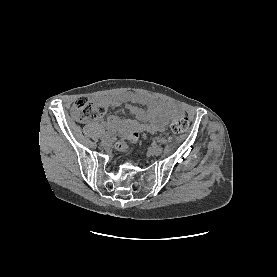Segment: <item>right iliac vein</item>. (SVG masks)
<instances>
[{
  "mask_svg": "<svg viewBox=\"0 0 277 277\" xmlns=\"http://www.w3.org/2000/svg\"><path fill=\"white\" fill-rule=\"evenodd\" d=\"M112 145V139L111 138H106L101 141V146L104 148H108Z\"/></svg>",
  "mask_w": 277,
  "mask_h": 277,
  "instance_id": "obj_1",
  "label": "right iliac vein"
}]
</instances>
